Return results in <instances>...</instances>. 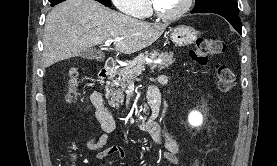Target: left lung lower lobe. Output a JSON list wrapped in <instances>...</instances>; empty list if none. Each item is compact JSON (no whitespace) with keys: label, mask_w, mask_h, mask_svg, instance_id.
<instances>
[{"label":"left lung lower lobe","mask_w":277,"mask_h":166,"mask_svg":"<svg viewBox=\"0 0 277 166\" xmlns=\"http://www.w3.org/2000/svg\"><path fill=\"white\" fill-rule=\"evenodd\" d=\"M210 13H215L226 18L231 23V25L241 34V21L238 17V14H233L224 11H215Z\"/></svg>","instance_id":"1"}]
</instances>
